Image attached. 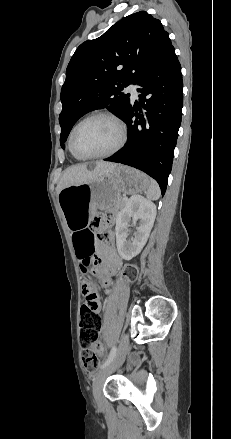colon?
I'll list each match as a JSON object with an SVG mask.
<instances>
[{"label": "colon", "mask_w": 231, "mask_h": 439, "mask_svg": "<svg viewBox=\"0 0 231 439\" xmlns=\"http://www.w3.org/2000/svg\"><path fill=\"white\" fill-rule=\"evenodd\" d=\"M97 219H100L104 224H110V218L105 216L98 217ZM92 256L84 263L85 268L94 264ZM125 275L130 279L135 278L137 275L136 268L132 265L127 266ZM101 325V316L90 306L83 305L80 315V344L84 368L88 371H93L97 368L99 357L103 353L101 345L98 344Z\"/></svg>", "instance_id": "obj_1"}]
</instances>
